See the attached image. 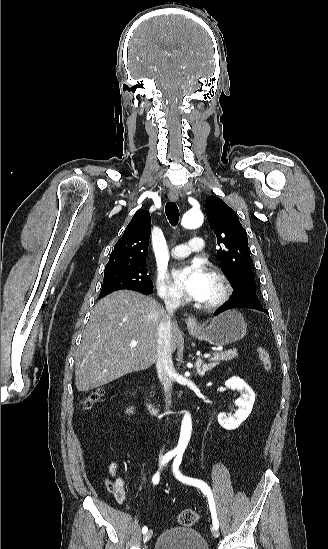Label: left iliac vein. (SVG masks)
I'll use <instances>...</instances> for the list:
<instances>
[{
  "mask_svg": "<svg viewBox=\"0 0 328 549\" xmlns=\"http://www.w3.org/2000/svg\"><path fill=\"white\" fill-rule=\"evenodd\" d=\"M211 532H212V535H213L215 538H217V537L219 536V532H218V530H217L216 528L213 527L212 530H211Z\"/></svg>",
  "mask_w": 328,
  "mask_h": 549,
  "instance_id": "left-iliac-vein-1",
  "label": "left iliac vein"
}]
</instances>
